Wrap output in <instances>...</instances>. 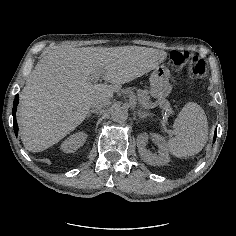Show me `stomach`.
<instances>
[{
  "label": "stomach",
  "mask_w": 236,
  "mask_h": 236,
  "mask_svg": "<svg viewBox=\"0 0 236 236\" xmlns=\"http://www.w3.org/2000/svg\"><path fill=\"white\" fill-rule=\"evenodd\" d=\"M170 71L166 67L156 68L150 78V94L154 98L166 97L171 91Z\"/></svg>",
  "instance_id": "0dacf381"
}]
</instances>
